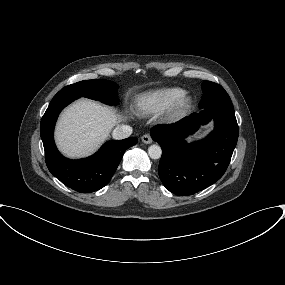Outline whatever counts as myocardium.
<instances>
[{"instance_id": "myocardium-1", "label": "myocardium", "mask_w": 285, "mask_h": 285, "mask_svg": "<svg viewBox=\"0 0 285 285\" xmlns=\"http://www.w3.org/2000/svg\"><path fill=\"white\" fill-rule=\"evenodd\" d=\"M191 107V97L187 94H183L167 109V117L171 121H179L187 115Z\"/></svg>"}]
</instances>
